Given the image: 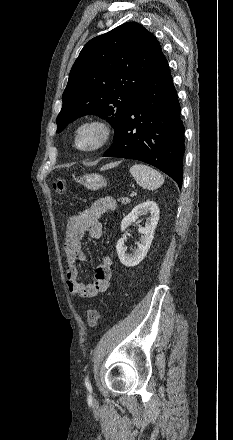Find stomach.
Returning a JSON list of instances; mask_svg holds the SVG:
<instances>
[{"mask_svg":"<svg viewBox=\"0 0 233 440\" xmlns=\"http://www.w3.org/2000/svg\"><path fill=\"white\" fill-rule=\"evenodd\" d=\"M79 183L89 190L96 191L107 185V180L98 173L85 174L80 178Z\"/></svg>","mask_w":233,"mask_h":440,"instance_id":"stomach-1","label":"stomach"}]
</instances>
